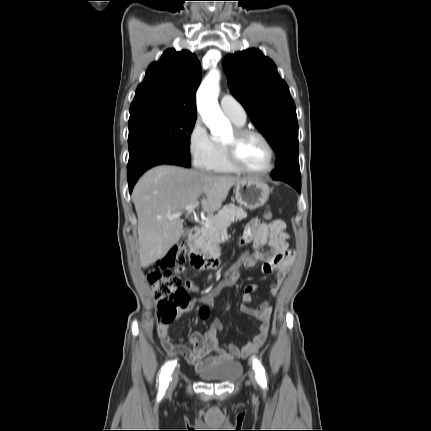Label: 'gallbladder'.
Here are the masks:
<instances>
[{"label":"gallbladder","instance_id":"1","mask_svg":"<svg viewBox=\"0 0 431 431\" xmlns=\"http://www.w3.org/2000/svg\"><path fill=\"white\" fill-rule=\"evenodd\" d=\"M188 229L186 228V229H184V232H183V237L185 238L187 235H188Z\"/></svg>","mask_w":431,"mask_h":431}]
</instances>
